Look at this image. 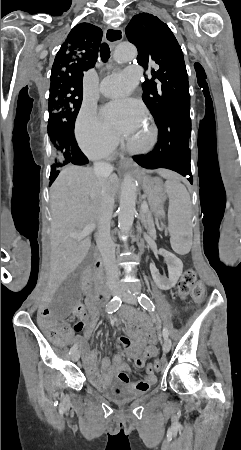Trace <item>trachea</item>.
<instances>
[{
    "label": "trachea",
    "instance_id": "1",
    "mask_svg": "<svg viewBox=\"0 0 241 450\" xmlns=\"http://www.w3.org/2000/svg\"><path fill=\"white\" fill-rule=\"evenodd\" d=\"M100 57L103 62H107V60L110 58V48L107 43H102L100 47Z\"/></svg>",
    "mask_w": 241,
    "mask_h": 450
}]
</instances>
